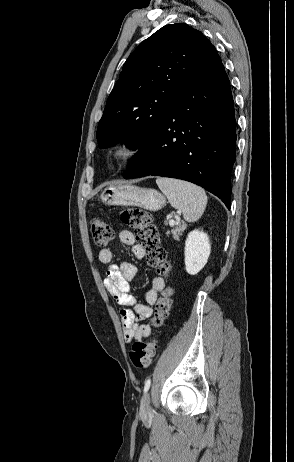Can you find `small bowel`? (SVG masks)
<instances>
[{"mask_svg":"<svg viewBox=\"0 0 294 462\" xmlns=\"http://www.w3.org/2000/svg\"><path fill=\"white\" fill-rule=\"evenodd\" d=\"M121 242L131 246L134 256L144 257V251L136 244L135 236L128 230L119 232ZM101 263L108 265L104 286L108 293L122 307L120 310L124 339L126 342L141 341L151 334L149 324H139V321L150 318L153 314L151 306L157 303L159 293L165 287L161 276H155L151 289L144 293V303L138 302L132 294L131 281L137 274L135 265L129 262H114V254L110 249H101L98 254Z\"/></svg>","mask_w":294,"mask_h":462,"instance_id":"obj_1","label":"small bowel"}]
</instances>
